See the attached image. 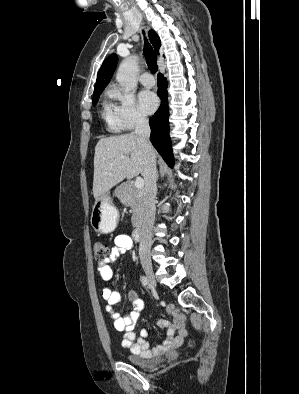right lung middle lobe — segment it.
Instances as JSON below:
<instances>
[{
  "mask_svg": "<svg viewBox=\"0 0 299 394\" xmlns=\"http://www.w3.org/2000/svg\"><path fill=\"white\" fill-rule=\"evenodd\" d=\"M100 94H101V93L96 94V95L93 96V105H96V103H97V101H98V99H99Z\"/></svg>",
  "mask_w": 299,
  "mask_h": 394,
  "instance_id": "dd1d6c3e",
  "label": "right lung middle lobe"
}]
</instances>
